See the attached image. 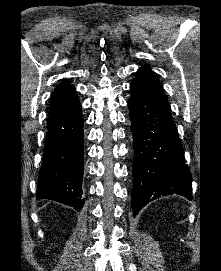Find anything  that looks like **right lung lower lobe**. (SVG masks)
<instances>
[{
	"label": "right lung lower lobe",
	"mask_w": 221,
	"mask_h": 271,
	"mask_svg": "<svg viewBox=\"0 0 221 271\" xmlns=\"http://www.w3.org/2000/svg\"><path fill=\"white\" fill-rule=\"evenodd\" d=\"M37 199H50L81 209L84 134L79 100L49 113Z\"/></svg>",
	"instance_id": "98d812e1"
}]
</instances>
